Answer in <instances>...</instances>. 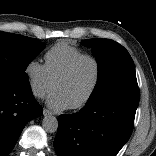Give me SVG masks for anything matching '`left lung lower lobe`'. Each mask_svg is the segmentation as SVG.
Instances as JSON below:
<instances>
[{"label": "left lung lower lobe", "instance_id": "left-lung-lower-lobe-1", "mask_svg": "<svg viewBox=\"0 0 156 156\" xmlns=\"http://www.w3.org/2000/svg\"><path fill=\"white\" fill-rule=\"evenodd\" d=\"M139 99L108 96L58 117V156H116L132 134Z\"/></svg>", "mask_w": 156, "mask_h": 156}]
</instances>
